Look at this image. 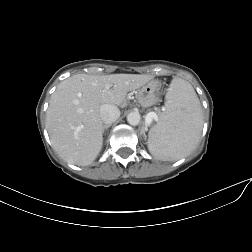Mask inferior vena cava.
Here are the masks:
<instances>
[{
	"label": "inferior vena cava",
	"mask_w": 252,
	"mask_h": 252,
	"mask_svg": "<svg viewBox=\"0 0 252 252\" xmlns=\"http://www.w3.org/2000/svg\"><path fill=\"white\" fill-rule=\"evenodd\" d=\"M101 120L105 124H111L120 117V110L110 104H103L100 106Z\"/></svg>",
	"instance_id": "602c4592"
}]
</instances>
